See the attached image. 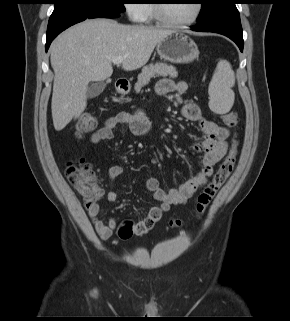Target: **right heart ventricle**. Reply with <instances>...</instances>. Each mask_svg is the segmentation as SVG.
<instances>
[{"label":"right heart ventricle","instance_id":"obj_1","mask_svg":"<svg viewBox=\"0 0 290 321\" xmlns=\"http://www.w3.org/2000/svg\"><path fill=\"white\" fill-rule=\"evenodd\" d=\"M144 15L142 21L145 23H152L155 20V15L151 3H146L142 5Z\"/></svg>","mask_w":290,"mask_h":321}]
</instances>
